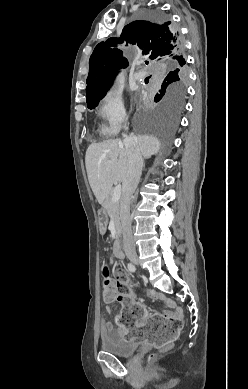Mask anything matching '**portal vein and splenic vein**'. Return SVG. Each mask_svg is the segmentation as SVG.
<instances>
[{
    "mask_svg": "<svg viewBox=\"0 0 248 389\" xmlns=\"http://www.w3.org/2000/svg\"><path fill=\"white\" fill-rule=\"evenodd\" d=\"M121 197V185H117L113 190L112 202L119 201Z\"/></svg>",
    "mask_w": 248,
    "mask_h": 389,
    "instance_id": "1",
    "label": "portal vein and splenic vein"
}]
</instances>
